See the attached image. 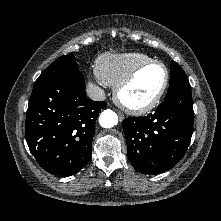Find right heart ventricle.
<instances>
[{"label": "right heart ventricle", "instance_id": "right-heart-ventricle-1", "mask_svg": "<svg viewBox=\"0 0 221 221\" xmlns=\"http://www.w3.org/2000/svg\"><path fill=\"white\" fill-rule=\"evenodd\" d=\"M151 60L148 55L138 52L106 53L96 60L95 72L103 83L116 86L137 66Z\"/></svg>", "mask_w": 221, "mask_h": 221}]
</instances>
